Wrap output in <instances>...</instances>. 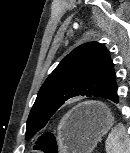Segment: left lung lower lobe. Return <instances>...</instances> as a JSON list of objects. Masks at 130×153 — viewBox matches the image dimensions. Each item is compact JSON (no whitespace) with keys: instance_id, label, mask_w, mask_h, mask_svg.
Segmentation results:
<instances>
[{"instance_id":"1","label":"left lung lower lobe","mask_w":130,"mask_h":153,"mask_svg":"<svg viewBox=\"0 0 130 153\" xmlns=\"http://www.w3.org/2000/svg\"><path fill=\"white\" fill-rule=\"evenodd\" d=\"M101 97L105 98V99H109L115 103H118L117 84L115 81V72L114 71H113L111 78L107 84V87Z\"/></svg>"}]
</instances>
